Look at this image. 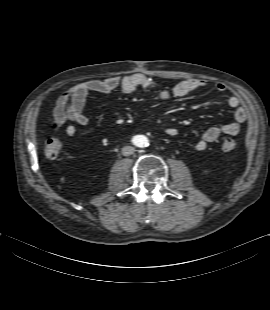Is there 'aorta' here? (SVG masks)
<instances>
[{
  "mask_svg": "<svg viewBox=\"0 0 270 310\" xmlns=\"http://www.w3.org/2000/svg\"><path fill=\"white\" fill-rule=\"evenodd\" d=\"M135 143L139 146V147H144L148 144V139L145 136H137L135 138Z\"/></svg>",
  "mask_w": 270,
  "mask_h": 310,
  "instance_id": "1",
  "label": "aorta"
}]
</instances>
